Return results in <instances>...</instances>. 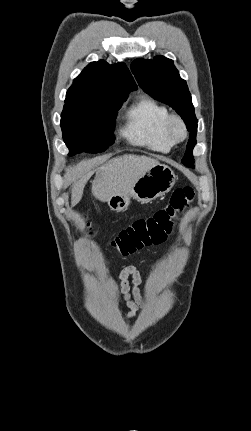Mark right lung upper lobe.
I'll use <instances>...</instances> for the list:
<instances>
[{
  "mask_svg": "<svg viewBox=\"0 0 251 431\" xmlns=\"http://www.w3.org/2000/svg\"><path fill=\"white\" fill-rule=\"evenodd\" d=\"M136 89L133 77L123 62L110 65L104 60L87 65L69 88L118 99H127L130 91Z\"/></svg>",
  "mask_w": 251,
  "mask_h": 431,
  "instance_id": "1",
  "label": "right lung upper lobe"
}]
</instances>
